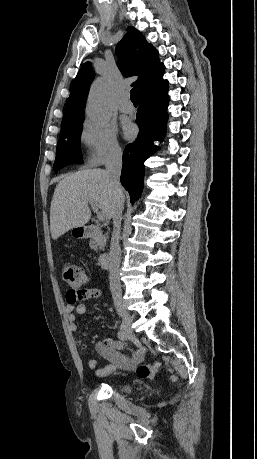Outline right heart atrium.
I'll list each match as a JSON object with an SVG mask.
<instances>
[{"mask_svg":"<svg viewBox=\"0 0 257 459\" xmlns=\"http://www.w3.org/2000/svg\"><path fill=\"white\" fill-rule=\"evenodd\" d=\"M81 140L91 165H101L121 156L117 130L110 124L86 120L82 126Z\"/></svg>","mask_w":257,"mask_h":459,"instance_id":"d8ad5b80","label":"right heart atrium"}]
</instances>
